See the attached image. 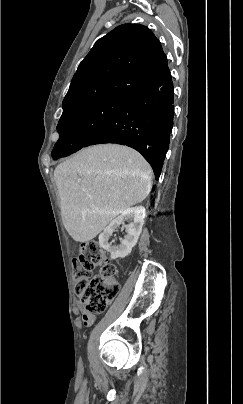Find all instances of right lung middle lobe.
I'll return each mask as SVG.
<instances>
[{"label":"right lung middle lobe","instance_id":"right-lung-middle-lobe-1","mask_svg":"<svg viewBox=\"0 0 243 404\" xmlns=\"http://www.w3.org/2000/svg\"><path fill=\"white\" fill-rule=\"evenodd\" d=\"M125 101L121 98L100 99L63 113L57 126L60 138L51 153L52 158L66 157L86 147Z\"/></svg>","mask_w":243,"mask_h":404}]
</instances>
